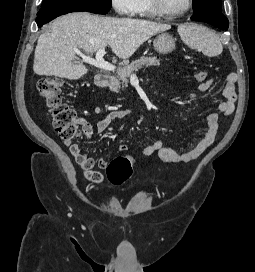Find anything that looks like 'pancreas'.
<instances>
[{
    "mask_svg": "<svg viewBox=\"0 0 255 272\" xmlns=\"http://www.w3.org/2000/svg\"><path fill=\"white\" fill-rule=\"evenodd\" d=\"M151 65L159 66L160 65V59H157L156 57H140L139 59H136L135 61H132L130 64L125 65L121 68H119L117 72V76L119 80L122 81V87L127 86L129 77L134 73L137 72L139 69L145 67H149ZM120 89V82L115 81L110 85V90L113 92H117Z\"/></svg>",
    "mask_w": 255,
    "mask_h": 272,
    "instance_id": "obj_1",
    "label": "pancreas"
}]
</instances>
